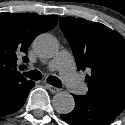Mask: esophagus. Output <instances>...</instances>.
<instances>
[{
  "mask_svg": "<svg viewBox=\"0 0 125 125\" xmlns=\"http://www.w3.org/2000/svg\"><path fill=\"white\" fill-rule=\"evenodd\" d=\"M46 87H47V89L51 92V93H58L59 91H60V89L59 88H56V87H54V86H52V85H50V84H46Z\"/></svg>",
  "mask_w": 125,
  "mask_h": 125,
  "instance_id": "esophagus-1",
  "label": "esophagus"
}]
</instances>
